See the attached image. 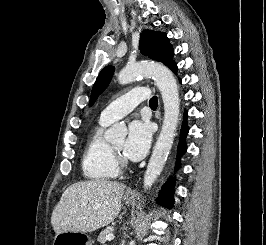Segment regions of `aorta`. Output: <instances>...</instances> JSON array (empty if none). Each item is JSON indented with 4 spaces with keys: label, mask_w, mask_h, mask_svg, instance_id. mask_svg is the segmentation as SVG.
<instances>
[{
    "label": "aorta",
    "mask_w": 266,
    "mask_h": 245,
    "mask_svg": "<svg viewBox=\"0 0 266 245\" xmlns=\"http://www.w3.org/2000/svg\"><path fill=\"white\" fill-rule=\"evenodd\" d=\"M141 74L153 76L164 102V120L161 133L156 141L143 179V187L145 191H148L154 185L158 175L163 171V167L172 149L180 114V96L179 86L173 72L167 66H164V64H159V62H151L149 66L127 64L125 68L120 70L118 82L120 84H128V82H133L136 76H141ZM126 135L127 129L125 125L116 123V125H112L109 131H106L105 139L107 141L125 139Z\"/></svg>",
    "instance_id": "aorta-1"
}]
</instances>
